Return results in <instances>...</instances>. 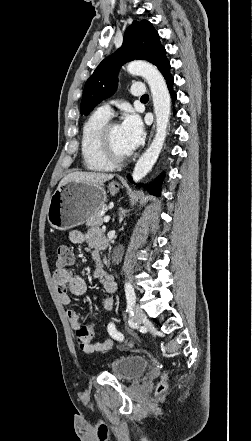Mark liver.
Returning <instances> with one entry per match:
<instances>
[{
    "instance_id": "obj_1",
    "label": "liver",
    "mask_w": 252,
    "mask_h": 441,
    "mask_svg": "<svg viewBox=\"0 0 252 441\" xmlns=\"http://www.w3.org/2000/svg\"><path fill=\"white\" fill-rule=\"evenodd\" d=\"M114 177L113 174H106L100 172H72L66 175L59 183V186L64 185L67 182L74 181L78 183L102 185L108 180Z\"/></svg>"
}]
</instances>
